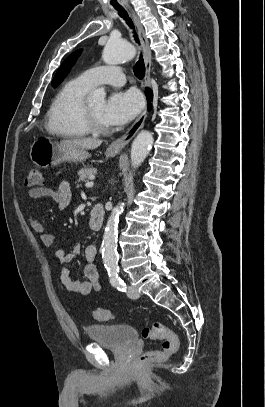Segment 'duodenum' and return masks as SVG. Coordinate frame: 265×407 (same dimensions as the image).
Instances as JSON below:
<instances>
[{
    "label": "duodenum",
    "instance_id": "duodenum-1",
    "mask_svg": "<svg viewBox=\"0 0 265 407\" xmlns=\"http://www.w3.org/2000/svg\"><path fill=\"white\" fill-rule=\"evenodd\" d=\"M105 219V210L102 205H94L89 213V225L94 229H99L103 225Z\"/></svg>",
    "mask_w": 265,
    "mask_h": 407
}]
</instances>
